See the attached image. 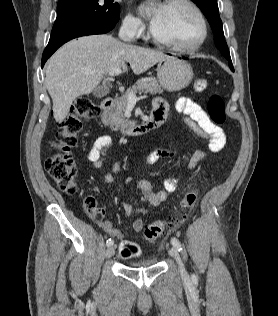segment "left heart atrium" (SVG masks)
Listing matches in <instances>:
<instances>
[{
	"instance_id": "1",
	"label": "left heart atrium",
	"mask_w": 278,
	"mask_h": 316,
	"mask_svg": "<svg viewBox=\"0 0 278 316\" xmlns=\"http://www.w3.org/2000/svg\"><path fill=\"white\" fill-rule=\"evenodd\" d=\"M161 7H162V5H161L158 9H160ZM155 18H156V14H154V16H153V18H152V24L154 23Z\"/></svg>"
}]
</instances>
